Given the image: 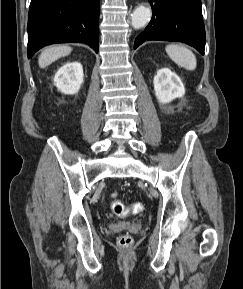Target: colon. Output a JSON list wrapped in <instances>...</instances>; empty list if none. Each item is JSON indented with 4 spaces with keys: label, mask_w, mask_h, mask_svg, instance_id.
<instances>
[{
    "label": "colon",
    "mask_w": 243,
    "mask_h": 289,
    "mask_svg": "<svg viewBox=\"0 0 243 289\" xmlns=\"http://www.w3.org/2000/svg\"><path fill=\"white\" fill-rule=\"evenodd\" d=\"M111 208L116 216L124 217L128 214L134 215L141 213L144 210V205L141 202H135L131 204L129 207H126L121 201L115 200L111 203ZM132 242L133 240L131 236L127 234L121 235L118 238V244L123 248L130 247L132 245Z\"/></svg>",
    "instance_id": "5ec220e1"
}]
</instances>
